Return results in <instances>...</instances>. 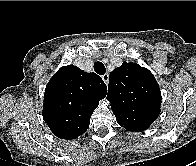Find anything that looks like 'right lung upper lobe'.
Here are the masks:
<instances>
[{
    "label": "right lung upper lobe",
    "mask_w": 196,
    "mask_h": 166,
    "mask_svg": "<svg viewBox=\"0 0 196 166\" xmlns=\"http://www.w3.org/2000/svg\"><path fill=\"white\" fill-rule=\"evenodd\" d=\"M106 94L100 76L74 65L64 66L46 86L43 118L54 135L72 140L88 129L94 109Z\"/></svg>",
    "instance_id": "cb5924a9"
}]
</instances>
